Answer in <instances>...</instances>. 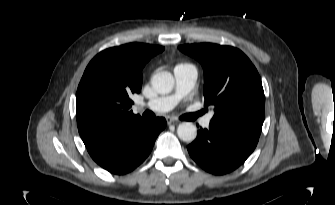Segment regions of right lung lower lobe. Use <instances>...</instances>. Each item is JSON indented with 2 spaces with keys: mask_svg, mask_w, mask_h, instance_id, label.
Segmentation results:
<instances>
[{
  "mask_svg": "<svg viewBox=\"0 0 335 205\" xmlns=\"http://www.w3.org/2000/svg\"><path fill=\"white\" fill-rule=\"evenodd\" d=\"M166 120L157 117L147 120L123 137L102 145L88 147L93 160L113 174H126L139 166L150 154Z\"/></svg>",
  "mask_w": 335,
  "mask_h": 205,
  "instance_id": "obj_1",
  "label": "right lung lower lobe"
}]
</instances>
